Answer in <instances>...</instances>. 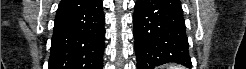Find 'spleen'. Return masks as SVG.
I'll return each instance as SVG.
<instances>
[{
  "mask_svg": "<svg viewBox=\"0 0 246 69\" xmlns=\"http://www.w3.org/2000/svg\"><path fill=\"white\" fill-rule=\"evenodd\" d=\"M163 69H185L183 66H180V65H166L164 66Z\"/></svg>",
  "mask_w": 246,
  "mask_h": 69,
  "instance_id": "spleen-1",
  "label": "spleen"
}]
</instances>
